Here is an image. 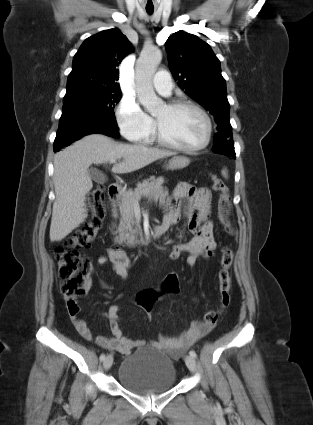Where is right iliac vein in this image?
<instances>
[{"label": "right iliac vein", "instance_id": "right-iliac-vein-1", "mask_svg": "<svg viewBox=\"0 0 313 425\" xmlns=\"http://www.w3.org/2000/svg\"><path fill=\"white\" fill-rule=\"evenodd\" d=\"M113 363V357L111 354L107 355L103 361V367L105 370H109Z\"/></svg>", "mask_w": 313, "mask_h": 425}]
</instances>
